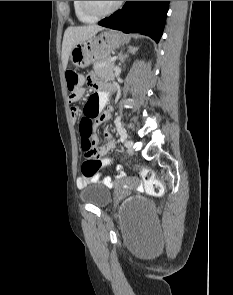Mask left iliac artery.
I'll return each instance as SVG.
<instances>
[{"label":"left iliac artery","mask_w":233,"mask_h":295,"mask_svg":"<svg viewBox=\"0 0 233 295\" xmlns=\"http://www.w3.org/2000/svg\"><path fill=\"white\" fill-rule=\"evenodd\" d=\"M123 143H124L125 145H130V144H131V141H130V140H125Z\"/></svg>","instance_id":"left-iliac-artery-1"}]
</instances>
